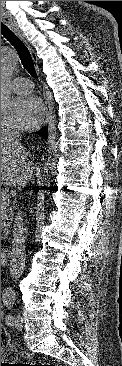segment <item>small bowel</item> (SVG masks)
Masks as SVG:
<instances>
[{
  "instance_id": "c3829d8e",
  "label": "small bowel",
  "mask_w": 122,
  "mask_h": 366,
  "mask_svg": "<svg viewBox=\"0 0 122 366\" xmlns=\"http://www.w3.org/2000/svg\"><path fill=\"white\" fill-rule=\"evenodd\" d=\"M3 259H2V257H1V261H2ZM2 316H3V313H2V311H1V318H2Z\"/></svg>"
}]
</instances>
